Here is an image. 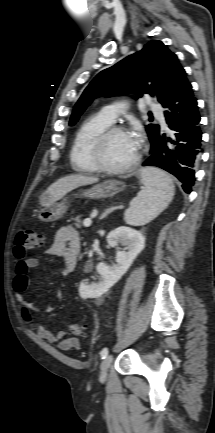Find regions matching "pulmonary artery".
<instances>
[{"label": "pulmonary artery", "instance_id": "pulmonary-artery-1", "mask_svg": "<svg viewBox=\"0 0 215 433\" xmlns=\"http://www.w3.org/2000/svg\"><path fill=\"white\" fill-rule=\"evenodd\" d=\"M150 109L154 112L163 126H166L164 115L160 112V106L156 103L150 104ZM124 112V106L118 103L109 104L100 111L102 117L113 123L119 114Z\"/></svg>", "mask_w": 215, "mask_h": 433}]
</instances>
